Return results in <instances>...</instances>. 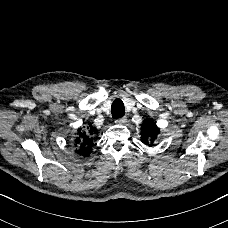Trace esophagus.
<instances>
[{"label":"esophagus","mask_w":228,"mask_h":228,"mask_svg":"<svg viewBox=\"0 0 228 228\" xmlns=\"http://www.w3.org/2000/svg\"><path fill=\"white\" fill-rule=\"evenodd\" d=\"M127 122V117H121L115 121L116 124H125Z\"/></svg>","instance_id":"obj_1"}]
</instances>
